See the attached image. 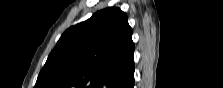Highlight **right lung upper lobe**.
Returning <instances> with one entry per match:
<instances>
[{
    "mask_svg": "<svg viewBox=\"0 0 223 88\" xmlns=\"http://www.w3.org/2000/svg\"><path fill=\"white\" fill-rule=\"evenodd\" d=\"M134 49L126 14L103 9L62 34L35 88H127L134 80Z\"/></svg>",
    "mask_w": 223,
    "mask_h": 88,
    "instance_id": "cb5924a9",
    "label": "right lung upper lobe"
}]
</instances>
